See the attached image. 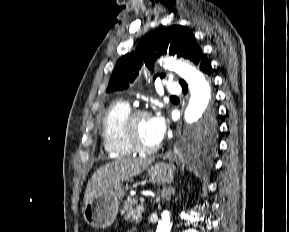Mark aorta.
<instances>
[{"mask_svg": "<svg viewBox=\"0 0 289 232\" xmlns=\"http://www.w3.org/2000/svg\"><path fill=\"white\" fill-rule=\"evenodd\" d=\"M165 69L176 72L189 85L190 100L185 109L184 119L186 123H196L202 119L208 118L213 111L209 104L211 100V86L203 73L195 67L177 61L174 58H165L159 61ZM172 224L167 212L162 213L156 228V232H170Z\"/></svg>", "mask_w": 289, "mask_h": 232, "instance_id": "obj_1", "label": "aorta"}]
</instances>
